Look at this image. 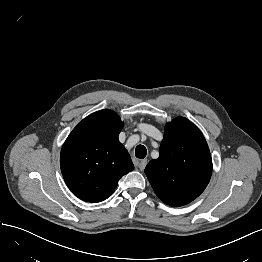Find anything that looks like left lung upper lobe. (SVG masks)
<instances>
[{
    "mask_svg": "<svg viewBox=\"0 0 262 262\" xmlns=\"http://www.w3.org/2000/svg\"><path fill=\"white\" fill-rule=\"evenodd\" d=\"M145 173L156 195L179 207L197 198L209 183L212 159L201 131L191 121L177 117L165 127L159 158Z\"/></svg>",
    "mask_w": 262,
    "mask_h": 262,
    "instance_id": "obj_1",
    "label": "left lung upper lobe"
}]
</instances>
